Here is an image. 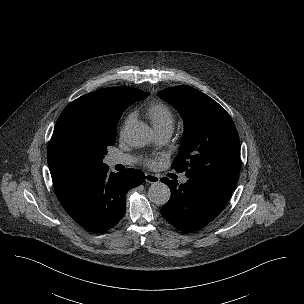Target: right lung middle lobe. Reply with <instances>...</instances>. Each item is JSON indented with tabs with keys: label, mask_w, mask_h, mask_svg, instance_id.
I'll use <instances>...</instances> for the list:
<instances>
[{
	"label": "right lung middle lobe",
	"mask_w": 304,
	"mask_h": 304,
	"mask_svg": "<svg viewBox=\"0 0 304 304\" xmlns=\"http://www.w3.org/2000/svg\"><path fill=\"white\" fill-rule=\"evenodd\" d=\"M149 94L143 93L139 97L129 98L115 113L106 117L98 127L86 128L81 131L79 138L83 146L92 151L102 162L107 154V147L113 146L116 138V128L122 112L137 100L146 98Z\"/></svg>",
	"instance_id": "right-lung-middle-lobe-1"
}]
</instances>
